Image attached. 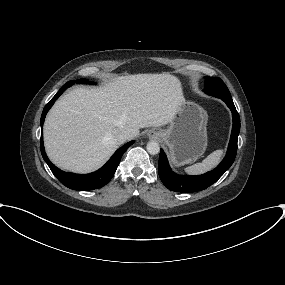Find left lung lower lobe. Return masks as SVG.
I'll list each match as a JSON object with an SVG mask.
<instances>
[{
    "label": "left lung lower lobe",
    "instance_id": "1",
    "mask_svg": "<svg viewBox=\"0 0 285 285\" xmlns=\"http://www.w3.org/2000/svg\"><path fill=\"white\" fill-rule=\"evenodd\" d=\"M232 111L233 128L227 150L222 162L212 171L197 176H180L175 174L167 161L163 150L160 151L158 172L163 184L170 190L191 193L204 190L214 184L233 164L237 153V139L240 131V117L233 101H224Z\"/></svg>",
    "mask_w": 285,
    "mask_h": 285
}]
</instances>
